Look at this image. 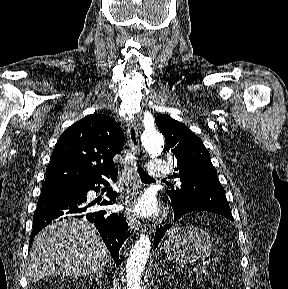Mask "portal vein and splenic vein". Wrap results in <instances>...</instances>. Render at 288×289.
I'll use <instances>...</instances> for the list:
<instances>
[{
	"instance_id": "portal-vein-and-splenic-vein-1",
	"label": "portal vein and splenic vein",
	"mask_w": 288,
	"mask_h": 289,
	"mask_svg": "<svg viewBox=\"0 0 288 289\" xmlns=\"http://www.w3.org/2000/svg\"><path fill=\"white\" fill-rule=\"evenodd\" d=\"M209 264V262H205L204 265L202 266L201 270L203 273L207 272V265Z\"/></svg>"
}]
</instances>
